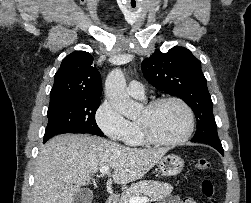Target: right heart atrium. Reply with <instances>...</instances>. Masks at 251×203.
<instances>
[{
    "label": "right heart atrium",
    "mask_w": 251,
    "mask_h": 203,
    "mask_svg": "<svg viewBox=\"0 0 251 203\" xmlns=\"http://www.w3.org/2000/svg\"><path fill=\"white\" fill-rule=\"evenodd\" d=\"M95 122L99 129L113 141H124L130 129V122L108 100H104L97 108Z\"/></svg>",
    "instance_id": "1"
}]
</instances>
